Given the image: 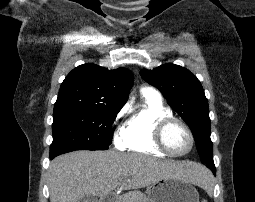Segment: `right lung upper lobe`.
Masks as SVG:
<instances>
[{
  "label": "right lung upper lobe",
  "instance_id": "cb5924a9",
  "mask_svg": "<svg viewBox=\"0 0 255 202\" xmlns=\"http://www.w3.org/2000/svg\"><path fill=\"white\" fill-rule=\"evenodd\" d=\"M133 81V74L126 68L80 65L62 82L53 115L84 109H121Z\"/></svg>",
  "mask_w": 255,
  "mask_h": 202
}]
</instances>
